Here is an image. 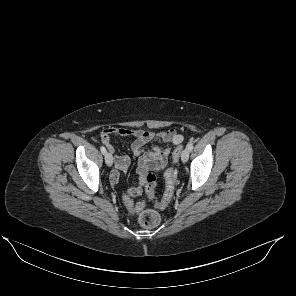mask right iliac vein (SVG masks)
Returning a JSON list of instances; mask_svg holds the SVG:
<instances>
[{"label":"right iliac vein","instance_id":"63e3f726","mask_svg":"<svg viewBox=\"0 0 296 296\" xmlns=\"http://www.w3.org/2000/svg\"><path fill=\"white\" fill-rule=\"evenodd\" d=\"M105 162L107 166L111 167L113 165V156L111 153H106L105 154Z\"/></svg>","mask_w":296,"mask_h":296}]
</instances>
